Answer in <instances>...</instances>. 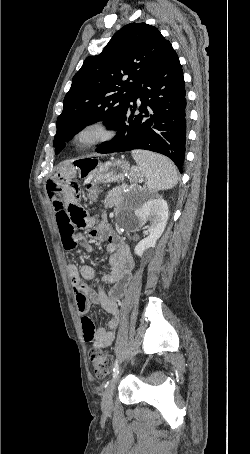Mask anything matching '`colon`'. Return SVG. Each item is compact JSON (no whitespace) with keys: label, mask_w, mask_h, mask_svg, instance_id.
<instances>
[{"label":"colon","mask_w":250,"mask_h":454,"mask_svg":"<svg viewBox=\"0 0 250 454\" xmlns=\"http://www.w3.org/2000/svg\"><path fill=\"white\" fill-rule=\"evenodd\" d=\"M99 194L100 189L96 185H88L86 187V198L90 202L96 201ZM89 358L96 376L104 377L109 374L111 371V358L108 354L98 348H93L89 352Z\"/></svg>","instance_id":"colon-1"}]
</instances>
